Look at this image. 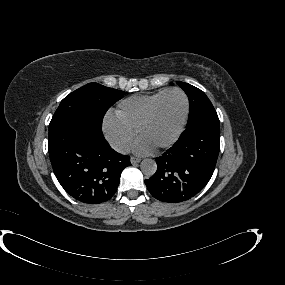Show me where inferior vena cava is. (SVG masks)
I'll return each mask as SVG.
<instances>
[{"label":"inferior vena cava","mask_w":285,"mask_h":285,"mask_svg":"<svg viewBox=\"0 0 285 285\" xmlns=\"http://www.w3.org/2000/svg\"><path fill=\"white\" fill-rule=\"evenodd\" d=\"M110 146L119 153L127 154L130 152V146L124 141L115 140L110 142Z\"/></svg>","instance_id":"602c4592"}]
</instances>
